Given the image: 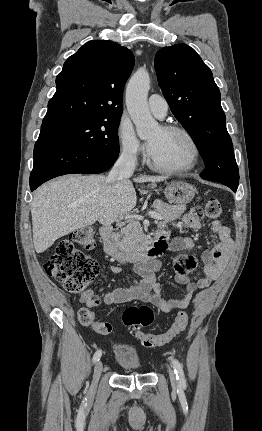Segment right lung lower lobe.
Segmentation results:
<instances>
[{"label": "right lung lower lobe", "mask_w": 262, "mask_h": 431, "mask_svg": "<svg viewBox=\"0 0 262 431\" xmlns=\"http://www.w3.org/2000/svg\"><path fill=\"white\" fill-rule=\"evenodd\" d=\"M117 156L99 152L71 141L39 137L34 147V165L30 174V189L64 174L102 173L108 170Z\"/></svg>", "instance_id": "obj_1"}]
</instances>
